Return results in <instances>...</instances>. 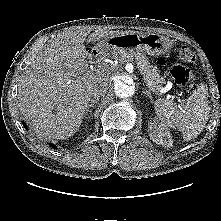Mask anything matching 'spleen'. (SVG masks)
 Here are the masks:
<instances>
[{"mask_svg": "<svg viewBox=\"0 0 221 221\" xmlns=\"http://www.w3.org/2000/svg\"><path fill=\"white\" fill-rule=\"evenodd\" d=\"M207 95V87L201 84L181 107L159 99L155 102L157 116L165 126L181 131L186 140L196 138L209 119Z\"/></svg>", "mask_w": 221, "mask_h": 221, "instance_id": "spleen-1", "label": "spleen"}]
</instances>
